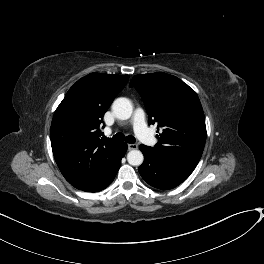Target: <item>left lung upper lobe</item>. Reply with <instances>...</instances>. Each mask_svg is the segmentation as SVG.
<instances>
[{
	"instance_id": "1",
	"label": "left lung upper lobe",
	"mask_w": 264,
	"mask_h": 264,
	"mask_svg": "<svg viewBox=\"0 0 264 264\" xmlns=\"http://www.w3.org/2000/svg\"><path fill=\"white\" fill-rule=\"evenodd\" d=\"M140 93L149 124L162 129L150 147L160 157L196 167L206 141L204 112L195 91L163 72L135 75L130 84Z\"/></svg>"
}]
</instances>
